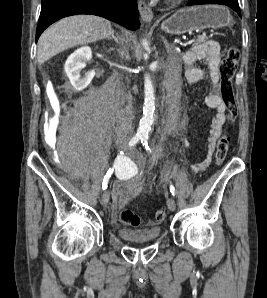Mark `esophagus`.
Returning a JSON list of instances; mask_svg holds the SVG:
<instances>
[{
	"mask_svg": "<svg viewBox=\"0 0 267 298\" xmlns=\"http://www.w3.org/2000/svg\"><path fill=\"white\" fill-rule=\"evenodd\" d=\"M138 9L142 16L143 21L146 23H150L153 19V12L151 8L143 0H139Z\"/></svg>",
	"mask_w": 267,
	"mask_h": 298,
	"instance_id": "esophagus-1",
	"label": "esophagus"
}]
</instances>
